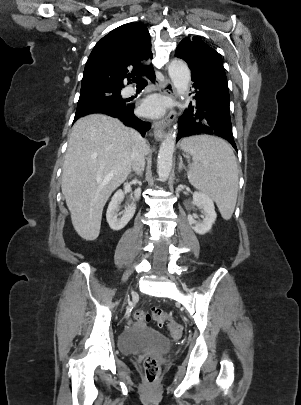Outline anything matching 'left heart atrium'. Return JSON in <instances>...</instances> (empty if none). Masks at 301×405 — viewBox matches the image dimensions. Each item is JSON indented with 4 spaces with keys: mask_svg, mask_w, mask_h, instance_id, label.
Here are the masks:
<instances>
[{
    "mask_svg": "<svg viewBox=\"0 0 301 405\" xmlns=\"http://www.w3.org/2000/svg\"><path fill=\"white\" fill-rule=\"evenodd\" d=\"M139 110L145 116L157 117L163 114L165 102L159 97L151 96L142 102Z\"/></svg>",
    "mask_w": 301,
    "mask_h": 405,
    "instance_id": "left-heart-atrium-1",
    "label": "left heart atrium"
}]
</instances>
